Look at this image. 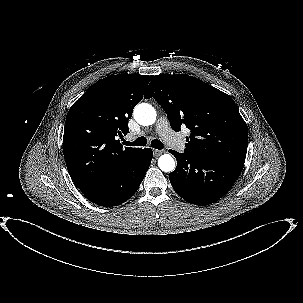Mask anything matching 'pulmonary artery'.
I'll return each mask as SVG.
<instances>
[{
  "label": "pulmonary artery",
  "mask_w": 303,
  "mask_h": 303,
  "mask_svg": "<svg viewBox=\"0 0 303 303\" xmlns=\"http://www.w3.org/2000/svg\"><path fill=\"white\" fill-rule=\"evenodd\" d=\"M157 133L166 141V143L177 150H184V141L171 129L166 118H160L156 123Z\"/></svg>",
  "instance_id": "pulmonary-artery-1"
}]
</instances>
